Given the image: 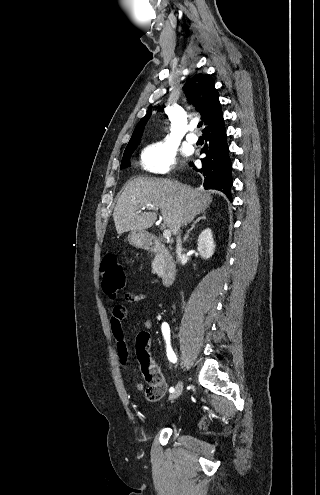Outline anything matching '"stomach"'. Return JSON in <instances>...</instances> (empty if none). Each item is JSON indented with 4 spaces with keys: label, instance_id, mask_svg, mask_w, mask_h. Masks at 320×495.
Segmentation results:
<instances>
[{
    "label": "stomach",
    "instance_id": "1",
    "mask_svg": "<svg viewBox=\"0 0 320 495\" xmlns=\"http://www.w3.org/2000/svg\"><path fill=\"white\" fill-rule=\"evenodd\" d=\"M127 239L130 245L136 248H144L150 242V235L145 230L130 231Z\"/></svg>",
    "mask_w": 320,
    "mask_h": 495
}]
</instances>
